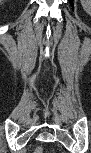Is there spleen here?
I'll use <instances>...</instances> for the list:
<instances>
[{
    "instance_id": "obj_1",
    "label": "spleen",
    "mask_w": 91,
    "mask_h": 153,
    "mask_svg": "<svg viewBox=\"0 0 91 153\" xmlns=\"http://www.w3.org/2000/svg\"><path fill=\"white\" fill-rule=\"evenodd\" d=\"M81 4H82V7L84 8V10L86 12H90V9H91V2H90V0H82Z\"/></svg>"
}]
</instances>
